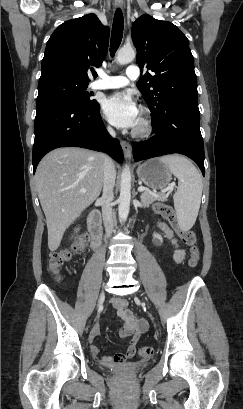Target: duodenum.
I'll use <instances>...</instances> for the list:
<instances>
[{
  "label": "duodenum",
  "mask_w": 243,
  "mask_h": 409,
  "mask_svg": "<svg viewBox=\"0 0 243 409\" xmlns=\"http://www.w3.org/2000/svg\"><path fill=\"white\" fill-rule=\"evenodd\" d=\"M101 214L98 211H93L87 220L89 233L91 238V248L92 250H97L102 235V223Z\"/></svg>",
  "instance_id": "1"
}]
</instances>
